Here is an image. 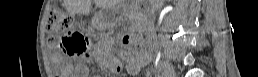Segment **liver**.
Wrapping results in <instances>:
<instances>
[{"instance_id": "obj_1", "label": "liver", "mask_w": 258, "mask_h": 77, "mask_svg": "<svg viewBox=\"0 0 258 77\" xmlns=\"http://www.w3.org/2000/svg\"><path fill=\"white\" fill-rule=\"evenodd\" d=\"M92 0H65L66 9L72 13L89 14ZM118 0H94L97 7H111L117 4Z\"/></svg>"}]
</instances>
